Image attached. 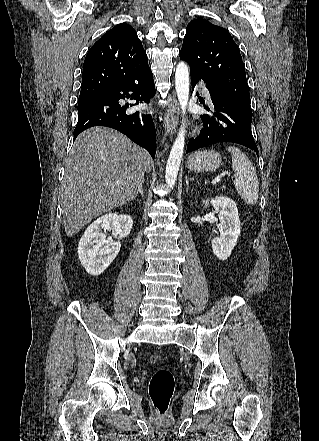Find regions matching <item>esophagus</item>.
Listing matches in <instances>:
<instances>
[{"mask_svg": "<svg viewBox=\"0 0 319 441\" xmlns=\"http://www.w3.org/2000/svg\"><path fill=\"white\" fill-rule=\"evenodd\" d=\"M179 106L176 98H171L167 107V114L164 124L165 133L170 136L176 131L178 125Z\"/></svg>", "mask_w": 319, "mask_h": 441, "instance_id": "1", "label": "esophagus"}]
</instances>
